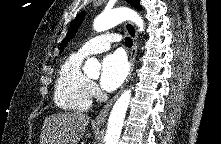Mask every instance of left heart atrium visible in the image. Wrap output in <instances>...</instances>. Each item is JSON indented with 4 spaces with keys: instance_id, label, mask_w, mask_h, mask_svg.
I'll return each mask as SVG.
<instances>
[{
    "instance_id": "obj_1",
    "label": "left heart atrium",
    "mask_w": 221,
    "mask_h": 144,
    "mask_svg": "<svg viewBox=\"0 0 221 144\" xmlns=\"http://www.w3.org/2000/svg\"><path fill=\"white\" fill-rule=\"evenodd\" d=\"M127 73L128 64L122 54L112 53L107 55L102 61L101 87L107 91L115 90L125 80Z\"/></svg>"
}]
</instances>
